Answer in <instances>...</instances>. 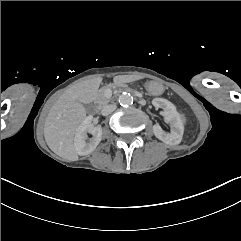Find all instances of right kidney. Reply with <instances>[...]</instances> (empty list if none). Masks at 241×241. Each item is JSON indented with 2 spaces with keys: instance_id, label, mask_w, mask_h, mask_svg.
Masks as SVG:
<instances>
[{
  "instance_id": "1",
  "label": "right kidney",
  "mask_w": 241,
  "mask_h": 241,
  "mask_svg": "<svg viewBox=\"0 0 241 241\" xmlns=\"http://www.w3.org/2000/svg\"><path fill=\"white\" fill-rule=\"evenodd\" d=\"M92 120V115L87 116L75 131L74 147L78 155L84 156L90 154L95 150L102 139L101 126H94ZM87 133L93 135L88 142H86L88 139Z\"/></svg>"
}]
</instances>
